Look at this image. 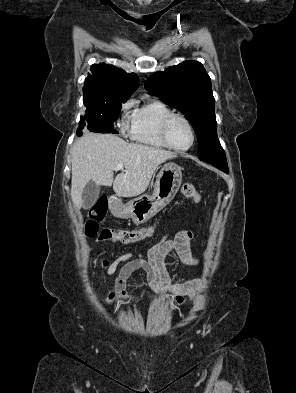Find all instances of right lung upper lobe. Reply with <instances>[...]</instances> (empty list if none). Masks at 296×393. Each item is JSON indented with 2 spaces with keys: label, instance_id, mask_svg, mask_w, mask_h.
I'll list each match as a JSON object with an SVG mask.
<instances>
[{
  "label": "right lung upper lobe",
  "instance_id": "right-lung-upper-lobe-1",
  "mask_svg": "<svg viewBox=\"0 0 296 393\" xmlns=\"http://www.w3.org/2000/svg\"><path fill=\"white\" fill-rule=\"evenodd\" d=\"M138 85L139 79L134 73L128 74L106 63L94 64L91 74L84 81L83 100H128Z\"/></svg>",
  "mask_w": 296,
  "mask_h": 393
}]
</instances>
